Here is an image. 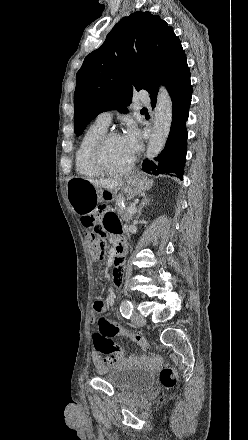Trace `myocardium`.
<instances>
[{"mask_svg":"<svg viewBox=\"0 0 248 440\" xmlns=\"http://www.w3.org/2000/svg\"><path fill=\"white\" fill-rule=\"evenodd\" d=\"M113 137H121V135L116 131H106L99 137L92 149L91 161L95 169L100 174L107 176H121L132 171L135 165V158L133 157L130 164L123 169L112 170L108 168L105 164L104 153L108 141Z\"/></svg>","mask_w":248,"mask_h":440,"instance_id":"1","label":"myocardium"}]
</instances>
